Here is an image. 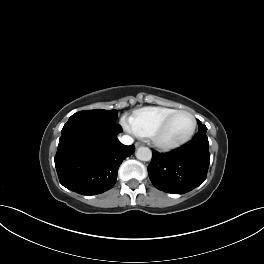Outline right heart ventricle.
<instances>
[{
    "mask_svg": "<svg viewBox=\"0 0 264 264\" xmlns=\"http://www.w3.org/2000/svg\"><path fill=\"white\" fill-rule=\"evenodd\" d=\"M175 108L150 106L135 110L129 118L133 132L140 137H151L163 120L175 111Z\"/></svg>",
    "mask_w": 264,
    "mask_h": 264,
    "instance_id": "1",
    "label": "right heart ventricle"
}]
</instances>
